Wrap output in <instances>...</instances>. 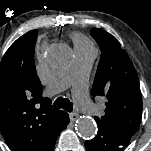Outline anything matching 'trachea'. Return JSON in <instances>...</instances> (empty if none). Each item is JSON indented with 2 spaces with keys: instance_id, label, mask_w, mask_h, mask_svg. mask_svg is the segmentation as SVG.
Here are the masks:
<instances>
[{
  "instance_id": "obj_1",
  "label": "trachea",
  "mask_w": 151,
  "mask_h": 151,
  "mask_svg": "<svg viewBox=\"0 0 151 151\" xmlns=\"http://www.w3.org/2000/svg\"><path fill=\"white\" fill-rule=\"evenodd\" d=\"M53 108H56V109L62 108L67 112H72L73 110L72 103L69 101V99L63 98V97H59L55 100L53 104Z\"/></svg>"
}]
</instances>
